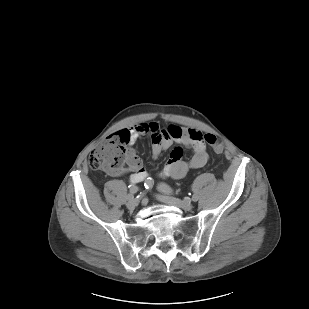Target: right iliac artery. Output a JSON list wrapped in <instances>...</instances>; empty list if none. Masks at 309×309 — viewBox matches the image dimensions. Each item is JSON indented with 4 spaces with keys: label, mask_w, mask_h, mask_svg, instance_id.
<instances>
[{
    "label": "right iliac artery",
    "mask_w": 309,
    "mask_h": 309,
    "mask_svg": "<svg viewBox=\"0 0 309 309\" xmlns=\"http://www.w3.org/2000/svg\"><path fill=\"white\" fill-rule=\"evenodd\" d=\"M153 184H154V181H153L151 178H147V179L143 182V185H144V187L146 188V191H147L148 189L152 188ZM143 192H144V191H143ZM143 192H142V194H143ZM140 196H141V195H140ZM140 196L138 197V196H135V195H128V196H127V200H128V201L133 200L134 203H139V198H140Z\"/></svg>",
    "instance_id": "right-iliac-artery-1"
}]
</instances>
